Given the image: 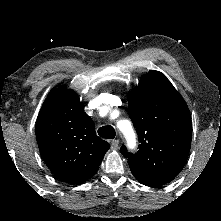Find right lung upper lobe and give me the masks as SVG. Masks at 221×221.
Masks as SVG:
<instances>
[{"mask_svg":"<svg viewBox=\"0 0 221 221\" xmlns=\"http://www.w3.org/2000/svg\"><path fill=\"white\" fill-rule=\"evenodd\" d=\"M36 138L48 168L61 180L80 184L99 169L109 144L97 137L92 119L76 93L53 88L39 112Z\"/></svg>","mask_w":221,"mask_h":221,"instance_id":"1","label":"right lung upper lobe"}]
</instances>
